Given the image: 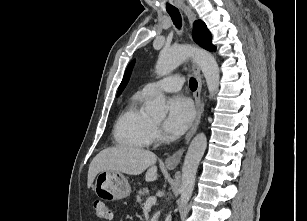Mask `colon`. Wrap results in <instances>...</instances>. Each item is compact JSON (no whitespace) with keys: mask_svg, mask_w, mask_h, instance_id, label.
Here are the masks:
<instances>
[{"mask_svg":"<svg viewBox=\"0 0 307 221\" xmlns=\"http://www.w3.org/2000/svg\"><path fill=\"white\" fill-rule=\"evenodd\" d=\"M95 216L97 219L104 221L109 220L112 217V212L108 204L101 200H96L94 202Z\"/></svg>","mask_w":307,"mask_h":221,"instance_id":"colon-1","label":"colon"}]
</instances>
